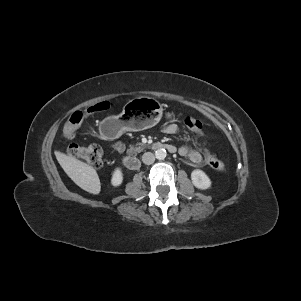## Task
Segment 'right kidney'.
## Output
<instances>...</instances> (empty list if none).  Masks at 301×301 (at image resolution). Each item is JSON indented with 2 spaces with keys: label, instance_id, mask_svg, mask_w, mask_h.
Masks as SVG:
<instances>
[{
  "label": "right kidney",
  "instance_id": "right-kidney-1",
  "mask_svg": "<svg viewBox=\"0 0 301 301\" xmlns=\"http://www.w3.org/2000/svg\"><path fill=\"white\" fill-rule=\"evenodd\" d=\"M123 182V174L120 168H116L112 174L111 184L114 187H118Z\"/></svg>",
  "mask_w": 301,
  "mask_h": 301
}]
</instances>
